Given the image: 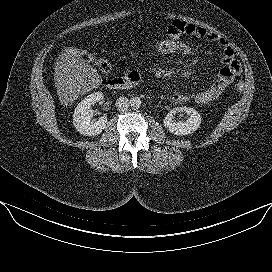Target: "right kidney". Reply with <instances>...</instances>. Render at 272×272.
Segmentation results:
<instances>
[{
	"label": "right kidney",
	"instance_id": "ca27d5eb",
	"mask_svg": "<svg viewBox=\"0 0 272 272\" xmlns=\"http://www.w3.org/2000/svg\"><path fill=\"white\" fill-rule=\"evenodd\" d=\"M103 93L95 92L85 97L75 108L73 114V124L76 130L84 136L99 135L106 127L107 117L102 116L99 120H93L94 111L91 106L96 102H101Z\"/></svg>",
	"mask_w": 272,
	"mask_h": 272
}]
</instances>
